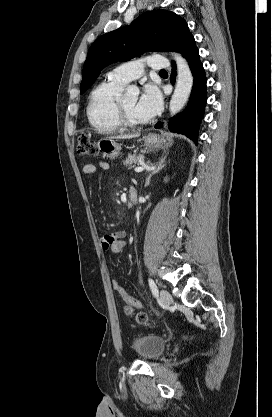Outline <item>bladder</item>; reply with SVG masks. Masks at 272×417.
Instances as JSON below:
<instances>
[{"label":"bladder","instance_id":"obj_1","mask_svg":"<svg viewBox=\"0 0 272 417\" xmlns=\"http://www.w3.org/2000/svg\"><path fill=\"white\" fill-rule=\"evenodd\" d=\"M166 348V340L160 336L144 335L132 342V349L143 360H155L162 355Z\"/></svg>","mask_w":272,"mask_h":417}]
</instances>
